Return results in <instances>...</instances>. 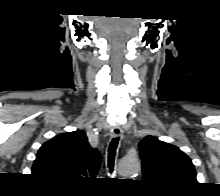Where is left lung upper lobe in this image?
I'll use <instances>...</instances> for the list:
<instances>
[{
  "mask_svg": "<svg viewBox=\"0 0 220 196\" xmlns=\"http://www.w3.org/2000/svg\"><path fill=\"white\" fill-rule=\"evenodd\" d=\"M143 181L161 193L175 194L196 185L191 159L178 147L146 136L139 143Z\"/></svg>",
  "mask_w": 220,
  "mask_h": 196,
  "instance_id": "1",
  "label": "left lung upper lobe"
}]
</instances>
